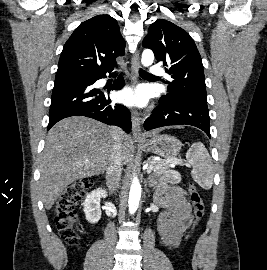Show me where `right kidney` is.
<instances>
[{
	"label": "right kidney",
	"mask_w": 267,
	"mask_h": 270,
	"mask_svg": "<svg viewBox=\"0 0 267 270\" xmlns=\"http://www.w3.org/2000/svg\"><path fill=\"white\" fill-rule=\"evenodd\" d=\"M107 197V191L98 188L88 194L84 201V213L89 223L95 224L101 218L100 200Z\"/></svg>",
	"instance_id": "1"
}]
</instances>
